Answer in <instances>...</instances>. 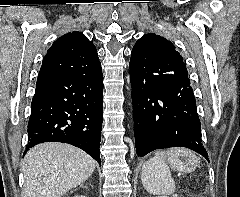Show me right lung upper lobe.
<instances>
[{
	"label": "right lung upper lobe",
	"instance_id": "cb5924a9",
	"mask_svg": "<svg viewBox=\"0 0 240 197\" xmlns=\"http://www.w3.org/2000/svg\"><path fill=\"white\" fill-rule=\"evenodd\" d=\"M101 68L96 48L81 32L58 38L44 57L37 81L60 76H81Z\"/></svg>",
	"mask_w": 240,
	"mask_h": 197
}]
</instances>
